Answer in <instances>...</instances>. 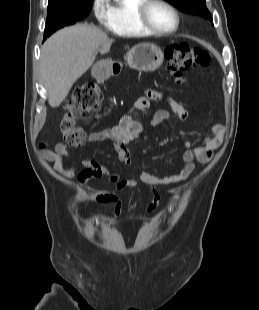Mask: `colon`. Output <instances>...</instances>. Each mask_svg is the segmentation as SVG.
<instances>
[{"label":"colon","mask_w":259,"mask_h":310,"mask_svg":"<svg viewBox=\"0 0 259 310\" xmlns=\"http://www.w3.org/2000/svg\"><path fill=\"white\" fill-rule=\"evenodd\" d=\"M165 57L167 69L176 81L181 80L185 71L206 66L210 62L205 50L187 43L168 46L165 49ZM100 98V89L94 83L81 85L73 91L59 121V130L67 146L79 147L86 142V135L76 126L75 121L83 115L95 112Z\"/></svg>","instance_id":"obj_1"}]
</instances>
